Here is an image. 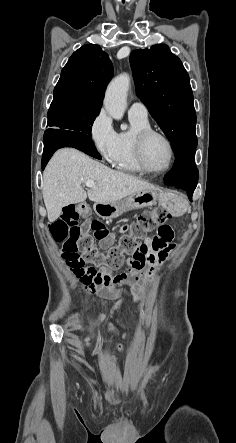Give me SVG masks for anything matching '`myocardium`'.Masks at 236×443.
<instances>
[{
	"label": "myocardium",
	"mask_w": 236,
	"mask_h": 443,
	"mask_svg": "<svg viewBox=\"0 0 236 443\" xmlns=\"http://www.w3.org/2000/svg\"><path fill=\"white\" fill-rule=\"evenodd\" d=\"M152 136H159L161 137L168 145L169 151H170V160L168 165L161 169V170H152L149 168V166L146 163L145 160V146L149 138ZM134 153H135V160L140 168V170L144 173L150 174V175H162L167 173L173 166L175 162V148L172 140L170 137L162 132L161 130L154 129L151 127L144 128L137 132L135 139H134Z\"/></svg>",
	"instance_id": "obj_1"
}]
</instances>
